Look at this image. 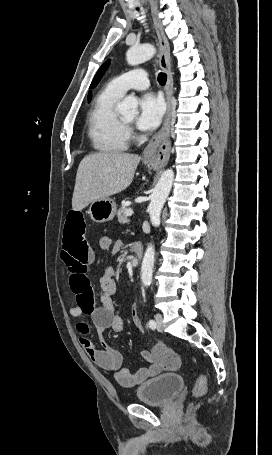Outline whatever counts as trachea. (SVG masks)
Instances as JSON below:
<instances>
[{
    "label": "trachea",
    "mask_w": 272,
    "mask_h": 455,
    "mask_svg": "<svg viewBox=\"0 0 272 455\" xmlns=\"http://www.w3.org/2000/svg\"><path fill=\"white\" fill-rule=\"evenodd\" d=\"M166 81H167V75L165 73H162V72L159 73L158 74V82H159V84L160 85H165Z\"/></svg>",
    "instance_id": "1"
}]
</instances>
